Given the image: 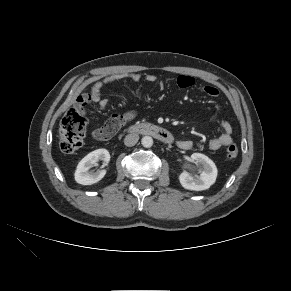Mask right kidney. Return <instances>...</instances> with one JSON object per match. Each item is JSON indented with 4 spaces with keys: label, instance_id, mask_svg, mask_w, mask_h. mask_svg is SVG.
Here are the masks:
<instances>
[{
    "label": "right kidney",
    "instance_id": "ca27d5eb",
    "mask_svg": "<svg viewBox=\"0 0 291 291\" xmlns=\"http://www.w3.org/2000/svg\"><path fill=\"white\" fill-rule=\"evenodd\" d=\"M99 161H103L107 165L110 161V154L106 149H97L86 155L77 165L75 171V181L82 185H92L100 180L106 174L105 170L98 172L89 171L90 168L96 166Z\"/></svg>",
    "mask_w": 291,
    "mask_h": 291
}]
</instances>
